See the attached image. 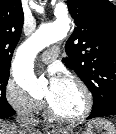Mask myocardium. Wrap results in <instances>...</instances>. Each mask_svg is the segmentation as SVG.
<instances>
[{
  "instance_id": "1",
  "label": "myocardium",
  "mask_w": 116,
  "mask_h": 134,
  "mask_svg": "<svg viewBox=\"0 0 116 134\" xmlns=\"http://www.w3.org/2000/svg\"><path fill=\"white\" fill-rule=\"evenodd\" d=\"M63 81L74 84L82 93L83 99H84V107L82 111L75 115V116H65L60 113H58L50 104V102L47 103L48 112L49 114L56 120L68 123V124H75L83 121L86 119L93 108V97L89 90V88L86 86V84L81 81L80 79L74 77V76H66L63 78Z\"/></svg>"
}]
</instances>
